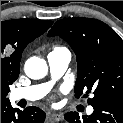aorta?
Returning <instances> with one entry per match:
<instances>
[{"mask_svg":"<svg viewBox=\"0 0 123 123\" xmlns=\"http://www.w3.org/2000/svg\"><path fill=\"white\" fill-rule=\"evenodd\" d=\"M26 75L31 79H41L47 75L48 66L44 59L33 56L24 65Z\"/></svg>","mask_w":123,"mask_h":123,"instance_id":"obj_1","label":"aorta"}]
</instances>
